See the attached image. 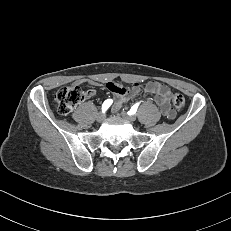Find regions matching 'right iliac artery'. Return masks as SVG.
<instances>
[{"instance_id": "right-iliac-artery-1", "label": "right iliac artery", "mask_w": 231, "mask_h": 231, "mask_svg": "<svg viewBox=\"0 0 231 231\" xmlns=\"http://www.w3.org/2000/svg\"><path fill=\"white\" fill-rule=\"evenodd\" d=\"M112 99H107L102 105V112H105L112 104Z\"/></svg>"}]
</instances>
